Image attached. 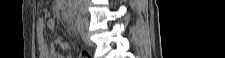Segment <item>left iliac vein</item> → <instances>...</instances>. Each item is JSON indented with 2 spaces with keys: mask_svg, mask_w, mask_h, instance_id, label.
<instances>
[{
  "mask_svg": "<svg viewBox=\"0 0 225 58\" xmlns=\"http://www.w3.org/2000/svg\"><path fill=\"white\" fill-rule=\"evenodd\" d=\"M81 36H82V39H83L85 44H87L89 46L93 45V42L91 41V39H90V37H89L87 32H85V31L81 32Z\"/></svg>",
  "mask_w": 225,
  "mask_h": 58,
  "instance_id": "4c4485c4",
  "label": "left iliac vein"
}]
</instances>
